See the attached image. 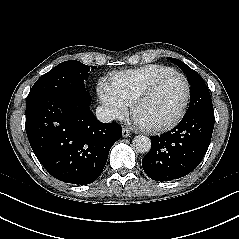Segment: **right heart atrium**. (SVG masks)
Returning <instances> with one entry per match:
<instances>
[{
    "instance_id": "1",
    "label": "right heart atrium",
    "mask_w": 239,
    "mask_h": 239,
    "mask_svg": "<svg viewBox=\"0 0 239 239\" xmlns=\"http://www.w3.org/2000/svg\"><path fill=\"white\" fill-rule=\"evenodd\" d=\"M98 96L107 116L113 120L123 119L129 111V105L116 93L110 83L101 80L98 84Z\"/></svg>"
}]
</instances>
